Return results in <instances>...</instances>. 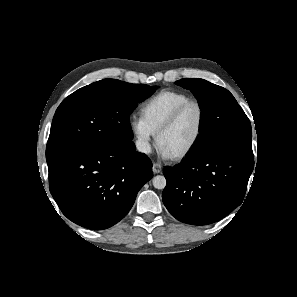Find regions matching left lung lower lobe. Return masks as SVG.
<instances>
[{
    "label": "left lung lower lobe",
    "instance_id": "left-lung-lower-lobe-1",
    "mask_svg": "<svg viewBox=\"0 0 297 297\" xmlns=\"http://www.w3.org/2000/svg\"><path fill=\"white\" fill-rule=\"evenodd\" d=\"M253 168L254 157L225 150L186 157L163 169V203L183 223H214L242 203Z\"/></svg>",
    "mask_w": 297,
    "mask_h": 297
}]
</instances>
